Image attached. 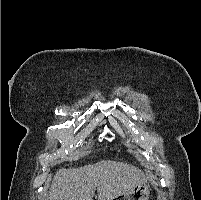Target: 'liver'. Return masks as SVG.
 <instances>
[{
  "mask_svg": "<svg viewBox=\"0 0 201 200\" xmlns=\"http://www.w3.org/2000/svg\"><path fill=\"white\" fill-rule=\"evenodd\" d=\"M147 182L137 167L124 162L102 160L80 168L60 169L53 178L48 200H113L139 183Z\"/></svg>",
  "mask_w": 201,
  "mask_h": 200,
  "instance_id": "obj_1",
  "label": "liver"
}]
</instances>
